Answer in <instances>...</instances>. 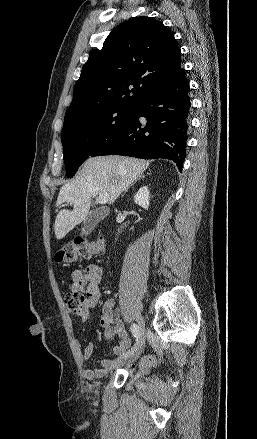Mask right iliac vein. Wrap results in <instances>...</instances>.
Masks as SVG:
<instances>
[{"label":"right iliac vein","instance_id":"obj_1","mask_svg":"<svg viewBox=\"0 0 257 439\" xmlns=\"http://www.w3.org/2000/svg\"><path fill=\"white\" fill-rule=\"evenodd\" d=\"M137 321H138V323L140 325V328H141V337L139 338V340L137 342V345H136V348H135V352H133V354H131L130 357L128 358V360L130 362L135 361V360L138 359V357L140 356V354H141V352L143 350V347H144V333H145L144 320H143L142 317H138ZM124 363H125V360L117 359L114 362V366L115 367L116 366H120V365H123Z\"/></svg>","mask_w":257,"mask_h":439}]
</instances>
